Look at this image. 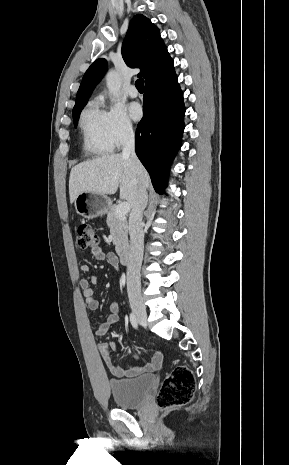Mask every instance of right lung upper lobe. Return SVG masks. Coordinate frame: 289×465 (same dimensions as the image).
Listing matches in <instances>:
<instances>
[{"label": "right lung upper lobe", "instance_id": "obj_1", "mask_svg": "<svg viewBox=\"0 0 289 465\" xmlns=\"http://www.w3.org/2000/svg\"><path fill=\"white\" fill-rule=\"evenodd\" d=\"M122 56L131 68H140L138 76L145 79V86L175 75L173 60L160 37L159 29L145 16L133 17L122 45ZM107 62L96 60L86 71L76 96V102L88 100L101 80Z\"/></svg>", "mask_w": 289, "mask_h": 465}]
</instances>
